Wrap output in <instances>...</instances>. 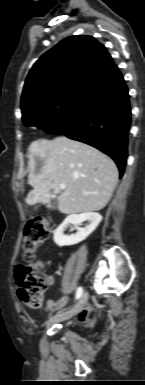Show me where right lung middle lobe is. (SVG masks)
Wrapping results in <instances>:
<instances>
[{
	"mask_svg": "<svg viewBox=\"0 0 145 385\" xmlns=\"http://www.w3.org/2000/svg\"><path fill=\"white\" fill-rule=\"evenodd\" d=\"M94 91L73 89L53 100L29 110L22 120L26 126H36L52 133L73 118L90 100Z\"/></svg>",
	"mask_w": 145,
	"mask_h": 385,
	"instance_id": "obj_1",
	"label": "right lung middle lobe"
}]
</instances>
